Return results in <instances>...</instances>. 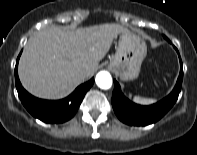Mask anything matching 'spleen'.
Segmentation results:
<instances>
[{"mask_svg": "<svg viewBox=\"0 0 197 155\" xmlns=\"http://www.w3.org/2000/svg\"><path fill=\"white\" fill-rule=\"evenodd\" d=\"M134 102L138 103V104H142V105H148V104H152L154 102H156L155 99H150V98H143L140 96H135L133 98Z\"/></svg>", "mask_w": 197, "mask_h": 155, "instance_id": "3e777b00", "label": "spleen"}]
</instances>
